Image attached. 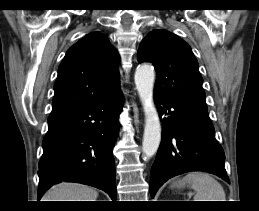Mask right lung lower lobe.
<instances>
[{
	"instance_id": "1",
	"label": "right lung lower lobe",
	"mask_w": 259,
	"mask_h": 211,
	"mask_svg": "<svg viewBox=\"0 0 259 211\" xmlns=\"http://www.w3.org/2000/svg\"><path fill=\"white\" fill-rule=\"evenodd\" d=\"M122 93L63 111L51 112L39 162L38 199L52 185L79 182L116 200L112 149L118 136Z\"/></svg>"
}]
</instances>
